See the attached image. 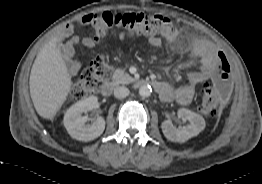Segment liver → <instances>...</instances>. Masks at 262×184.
<instances>
[{
  "label": "liver",
  "instance_id": "obj_1",
  "mask_svg": "<svg viewBox=\"0 0 262 184\" xmlns=\"http://www.w3.org/2000/svg\"><path fill=\"white\" fill-rule=\"evenodd\" d=\"M55 36L38 53L30 73V94L37 113L52 119L66 101L72 80Z\"/></svg>",
  "mask_w": 262,
  "mask_h": 184
}]
</instances>
